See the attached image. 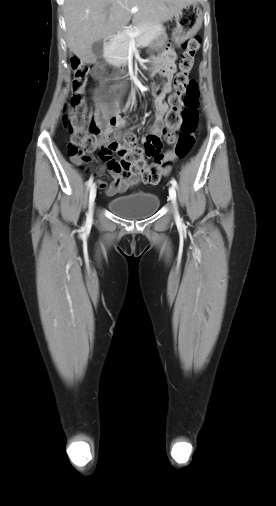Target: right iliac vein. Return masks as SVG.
I'll return each instance as SVG.
<instances>
[{
    "label": "right iliac vein",
    "instance_id": "63e3f726",
    "mask_svg": "<svg viewBox=\"0 0 276 506\" xmlns=\"http://www.w3.org/2000/svg\"><path fill=\"white\" fill-rule=\"evenodd\" d=\"M96 198V186L93 184L89 193V210H88V218L91 219L93 215L94 202Z\"/></svg>",
    "mask_w": 276,
    "mask_h": 506
}]
</instances>
